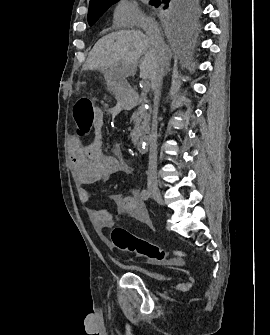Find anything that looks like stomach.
<instances>
[{"label":"stomach","mask_w":270,"mask_h":335,"mask_svg":"<svg viewBox=\"0 0 270 335\" xmlns=\"http://www.w3.org/2000/svg\"><path fill=\"white\" fill-rule=\"evenodd\" d=\"M116 70L115 68H112V66H108V68H103V74H105L106 78H110L112 82L115 84V90L118 98H125V96H128V88H124L122 84H119V82H116V80H113V76L115 74ZM121 82H125L124 78H122ZM125 104V102H124ZM123 104V106H124Z\"/></svg>","instance_id":"stomach-1"}]
</instances>
